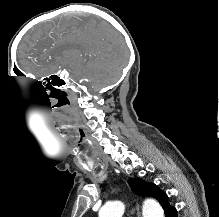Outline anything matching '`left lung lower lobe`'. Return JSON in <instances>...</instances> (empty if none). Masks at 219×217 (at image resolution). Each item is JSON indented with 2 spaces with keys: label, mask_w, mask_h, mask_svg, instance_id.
Returning a JSON list of instances; mask_svg holds the SVG:
<instances>
[{
  "label": "left lung lower lobe",
  "mask_w": 219,
  "mask_h": 217,
  "mask_svg": "<svg viewBox=\"0 0 219 217\" xmlns=\"http://www.w3.org/2000/svg\"><path fill=\"white\" fill-rule=\"evenodd\" d=\"M165 217H177V210L175 207L169 205L164 209Z\"/></svg>",
  "instance_id": "1"
}]
</instances>
